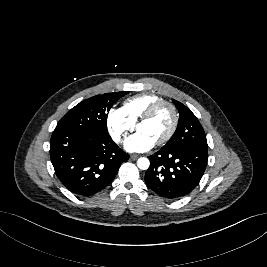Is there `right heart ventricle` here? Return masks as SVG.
I'll use <instances>...</instances> for the list:
<instances>
[{
    "mask_svg": "<svg viewBox=\"0 0 267 267\" xmlns=\"http://www.w3.org/2000/svg\"><path fill=\"white\" fill-rule=\"evenodd\" d=\"M161 100L162 98L155 94L143 93L126 99L122 109L129 119L136 123L149 107Z\"/></svg>",
    "mask_w": 267,
    "mask_h": 267,
    "instance_id": "obj_1",
    "label": "right heart ventricle"
}]
</instances>
